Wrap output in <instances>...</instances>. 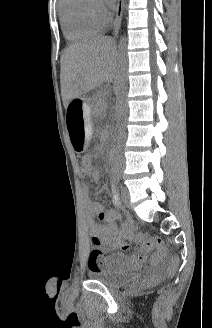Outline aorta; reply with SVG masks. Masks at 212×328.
Returning <instances> with one entry per match:
<instances>
[{
	"label": "aorta",
	"mask_w": 212,
	"mask_h": 328,
	"mask_svg": "<svg viewBox=\"0 0 212 328\" xmlns=\"http://www.w3.org/2000/svg\"><path fill=\"white\" fill-rule=\"evenodd\" d=\"M127 39L122 36L119 41V62L117 75L115 78V92H116V117L118 124V140L122 141L125 136V122L127 119V69L128 61L126 55ZM114 167L111 169V179L121 180L124 169L121 167L122 155L120 151L114 154Z\"/></svg>",
	"instance_id": "obj_1"
}]
</instances>
